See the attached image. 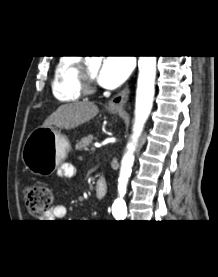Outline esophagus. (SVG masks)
I'll list each match as a JSON object with an SVG mask.
<instances>
[{
    "instance_id": "esophagus-1",
    "label": "esophagus",
    "mask_w": 218,
    "mask_h": 277,
    "mask_svg": "<svg viewBox=\"0 0 218 277\" xmlns=\"http://www.w3.org/2000/svg\"><path fill=\"white\" fill-rule=\"evenodd\" d=\"M129 87H125L121 92L115 95L109 102L108 108L113 111H118L123 108L124 104L127 102L129 98Z\"/></svg>"
}]
</instances>
